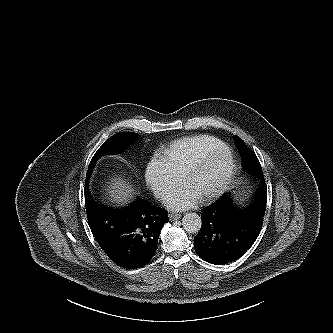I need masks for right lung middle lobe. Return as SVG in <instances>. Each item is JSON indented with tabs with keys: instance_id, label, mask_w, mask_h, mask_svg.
Segmentation results:
<instances>
[{
	"instance_id": "dd1d6c3e",
	"label": "right lung middle lobe",
	"mask_w": 333,
	"mask_h": 333,
	"mask_svg": "<svg viewBox=\"0 0 333 333\" xmlns=\"http://www.w3.org/2000/svg\"><path fill=\"white\" fill-rule=\"evenodd\" d=\"M135 140V135L130 132H121L113 135L111 138H109L94 154L86 175V181L89 180L90 175L94 169V165L96 164V161L108 154H116L122 151L124 148H126L128 145H130Z\"/></svg>"
}]
</instances>
